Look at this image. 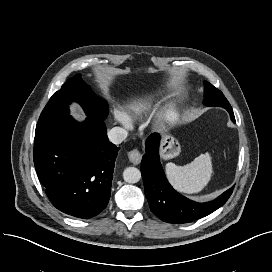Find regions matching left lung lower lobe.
<instances>
[{
	"instance_id": "1",
	"label": "left lung lower lobe",
	"mask_w": 272,
	"mask_h": 272,
	"mask_svg": "<svg viewBox=\"0 0 272 272\" xmlns=\"http://www.w3.org/2000/svg\"><path fill=\"white\" fill-rule=\"evenodd\" d=\"M227 111L235 122L233 110ZM159 141V134L149 136L145 145L146 154L141 162L145 195L151 211L158 218L167 223H189L211 214L229 199L234 186L215 200L205 203L194 202L176 192L168 183L160 164Z\"/></svg>"
}]
</instances>
